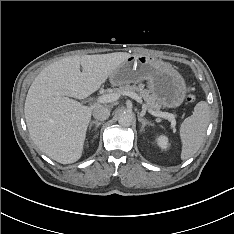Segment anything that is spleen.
Here are the masks:
<instances>
[{"mask_svg": "<svg viewBox=\"0 0 234 234\" xmlns=\"http://www.w3.org/2000/svg\"><path fill=\"white\" fill-rule=\"evenodd\" d=\"M209 122L210 107L207 102L200 101L194 107L193 114L186 118L180 126L182 160L191 158L199 150L203 143Z\"/></svg>", "mask_w": 234, "mask_h": 234, "instance_id": "spleen-1", "label": "spleen"}]
</instances>
